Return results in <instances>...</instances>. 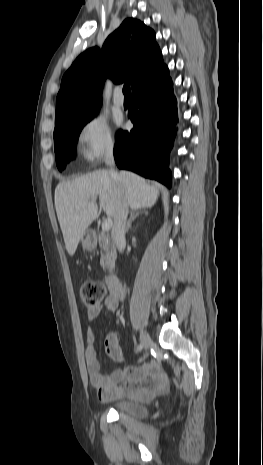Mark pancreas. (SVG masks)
<instances>
[{"mask_svg":"<svg viewBox=\"0 0 263 465\" xmlns=\"http://www.w3.org/2000/svg\"><path fill=\"white\" fill-rule=\"evenodd\" d=\"M100 241V248L104 251V254L101 256L100 264L103 268L108 269L115 262L116 250L110 237L106 233L102 232L100 234Z\"/></svg>","mask_w":263,"mask_h":465,"instance_id":"obj_1","label":"pancreas"}]
</instances>
